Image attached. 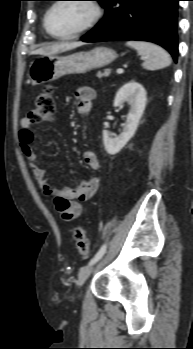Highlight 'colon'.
<instances>
[{"label": "colon", "instance_id": "obj_1", "mask_svg": "<svg viewBox=\"0 0 193 349\" xmlns=\"http://www.w3.org/2000/svg\"><path fill=\"white\" fill-rule=\"evenodd\" d=\"M55 112L56 105L52 89L46 88L36 96L28 119L32 123L51 121L55 116ZM73 238L77 252L82 256H88L90 246L86 231L80 226L74 228Z\"/></svg>", "mask_w": 193, "mask_h": 349}]
</instances>
